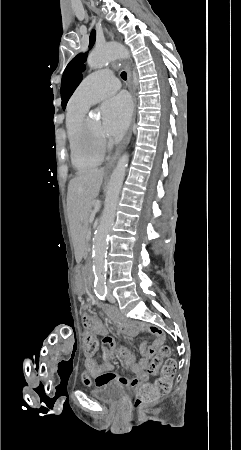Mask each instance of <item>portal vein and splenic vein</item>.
I'll use <instances>...</instances> for the list:
<instances>
[{"mask_svg": "<svg viewBox=\"0 0 241 450\" xmlns=\"http://www.w3.org/2000/svg\"><path fill=\"white\" fill-rule=\"evenodd\" d=\"M87 234H88L89 236H92V233H90V231H87Z\"/></svg>", "mask_w": 241, "mask_h": 450, "instance_id": "obj_1", "label": "portal vein and splenic vein"}]
</instances>
